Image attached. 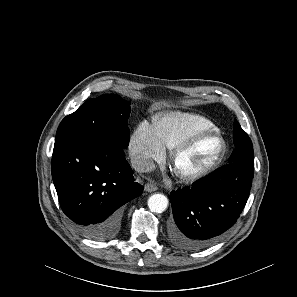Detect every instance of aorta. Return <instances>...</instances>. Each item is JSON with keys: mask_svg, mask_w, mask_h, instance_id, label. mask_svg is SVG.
Here are the masks:
<instances>
[{"mask_svg": "<svg viewBox=\"0 0 297 297\" xmlns=\"http://www.w3.org/2000/svg\"><path fill=\"white\" fill-rule=\"evenodd\" d=\"M168 206V199L163 194H153L148 199V207L152 212L162 213Z\"/></svg>", "mask_w": 297, "mask_h": 297, "instance_id": "1", "label": "aorta"}]
</instances>
